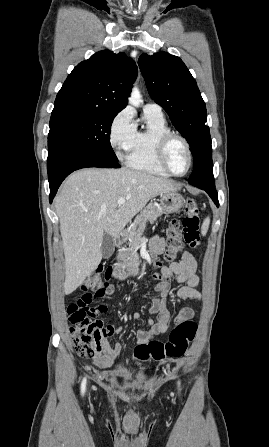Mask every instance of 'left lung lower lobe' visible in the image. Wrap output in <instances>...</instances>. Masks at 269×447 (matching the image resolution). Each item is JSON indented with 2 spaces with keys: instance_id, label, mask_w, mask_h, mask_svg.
<instances>
[{
  "instance_id": "obj_1",
  "label": "left lung lower lobe",
  "mask_w": 269,
  "mask_h": 447,
  "mask_svg": "<svg viewBox=\"0 0 269 447\" xmlns=\"http://www.w3.org/2000/svg\"><path fill=\"white\" fill-rule=\"evenodd\" d=\"M196 186L204 191L207 192V194L212 198V200L218 205V197L217 192L215 190V185H193Z\"/></svg>"
}]
</instances>
